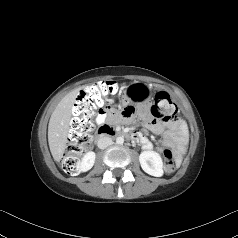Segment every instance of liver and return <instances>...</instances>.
<instances>
[{
	"mask_svg": "<svg viewBox=\"0 0 238 238\" xmlns=\"http://www.w3.org/2000/svg\"><path fill=\"white\" fill-rule=\"evenodd\" d=\"M81 88L65 95L53 111L48 125V143L55 161L59 162L67 146V136L70 129L72 107Z\"/></svg>",
	"mask_w": 238,
	"mask_h": 238,
	"instance_id": "liver-1",
	"label": "liver"
}]
</instances>
